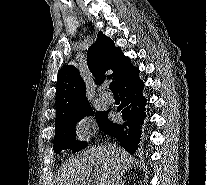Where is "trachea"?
Masks as SVG:
<instances>
[{
    "label": "trachea",
    "instance_id": "3493384b",
    "mask_svg": "<svg viewBox=\"0 0 207 185\" xmlns=\"http://www.w3.org/2000/svg\"><path fill=\"white\" fill-rule=\"evenodd\" d=\"M110 90L113 93L118 94L117 89H116V86H115V83L113 81L110 83Z\"/></svg>",
    "mask_w": 207,
    "mask_h": 185
}]
</instances>
